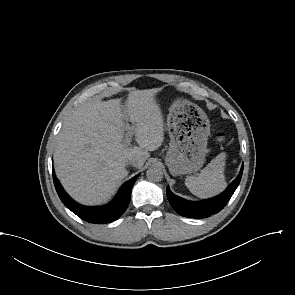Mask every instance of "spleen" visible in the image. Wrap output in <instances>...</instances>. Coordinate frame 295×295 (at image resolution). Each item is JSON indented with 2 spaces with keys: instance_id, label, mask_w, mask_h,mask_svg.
Listing matches in <instances>:
<instances>
[{
  "instance_id": "obj_1",
  "label": "spleen",
  "mask_w": 295,
  "mask_h": 295,
  "mask_svg": "<svg viewBox=\"0 0 295 295\" xmlns=\"http://www.w3.org/2000/svg\"><path fill=\"white\" fill-rule=\"evenodd\" d=\"M226 154L220 153L201 170L198 176H187L185 185L199 198H209L221 193L227 183L224 176Z\"/></svg>"
}]
</instances>
